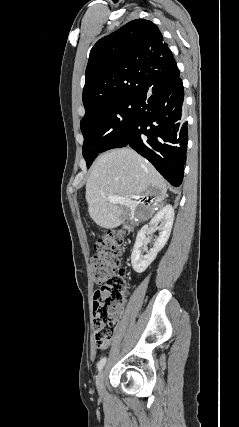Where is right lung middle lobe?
Here are the masks:
<instances>
[{
  "mask_svg": "<svg viewBox=\"0 0 239 427\" xmlns=\"http://www.w3.org/2000/svg\"><path fill=\"white\" fill-rule=\"evenodd\" d=\"M136 98L100 102L85 112L80 127L83 156L89 167L100 152L118 148L129 138Z\"/></svg>",
  "mask_w": 239,
  "mask_h": 427,
  "instance_id": "dd1d6c3e",
  "label": "right lung middle lobe"
}]
</instances>
